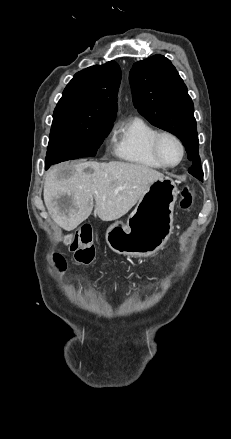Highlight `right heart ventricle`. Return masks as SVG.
<instances>
[{
	"instance_id": "obj_1",
	"label": "right heart ventricle",
	"mask_w": 231,
	"mask_h": 439,
	"mask_svg": "<svg viewBox=\"0 0 231 439\" xmlns=\"http://www.w3.org/2000/svg\"><path fill=\"white\" fill-rule=\"evenodd\" d=\"M157 130L140 117L120 124L115 132L113 153L121 160L152 170L163 169L151 152V140Z\"/></svg>"
}]
</instances>
